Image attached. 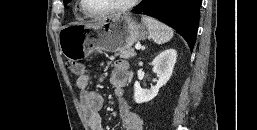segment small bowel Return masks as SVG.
Masks as SVG:
<instances>
[{
	"label": "small bowel",
	"mask_w": 257,
	"mask_h": 130,
	"mask_svg": "<svg viewBox=\"0 0 257 130\" xmlns=\"http://www.w3.org/2000/svg\"><path fill=\"white\" fill-rule=\"evenodd\" d=\"M129 79V64L118 60L111 72L110 82L115 96L118 97V111L123 130H143L142 118L131 111L123 98L124 87ZM90 78L87 74L78 77L76 84L80 90V104L90 130H104L100 111L103 107V96L89 89Z\"/></svg>",
	"instance_id": "small-bowel-1"
}]
</instances>
